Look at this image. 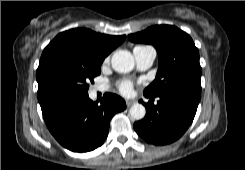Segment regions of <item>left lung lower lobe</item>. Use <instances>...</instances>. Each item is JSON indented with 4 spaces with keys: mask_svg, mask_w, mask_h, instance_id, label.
<instances>
[{
    "mask_svg": "<svg viewBox=\"0 0 245 170\" xmlns=\"http://www.w3.org/2000/svg\"><path fill=\"white\" fill-rule=\"evenodd\" d=\"M145 95V94H144ZM150 97L146 107V115L141 121L134 123L135 131L148 143L154 145L170 144L178 140L191 125L200 97L183 92L171 91L159 97L157 105Z\"/></svg>",
    "mask_w": 245,
    "mask_h": 170,
    "instance_id": "1",
    "label": "left lung lower lobe"
}]
</instances>
